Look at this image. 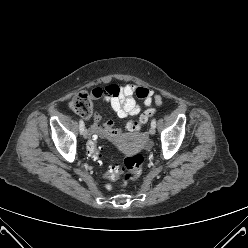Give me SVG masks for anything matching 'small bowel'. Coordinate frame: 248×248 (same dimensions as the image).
Listing matches in <instances>:
<instances>
[{
    "mask_svg": "<svg viewBox=\"0 0 248 248\" xmlns=\"http://www.w3.org/2000/svg\"><path fill=\"white\" fill-rule=\"evenodd\" d=\"M117 87L118 93L116 95H113L108 87L107 92L111 93V95H104L102 98L112 107V109L120 118L135 116L141 112L142 107L135 100V96L143 100L144 106H150L153 102L156 105L162 104L161 96L155 94L152 90L144 86L125 84ZM101 120V116L99 114H95L92 126L90 128L93 138L96 139L97 136H105L116 139L122 134V130L115 127L113 121L108 120L102 123Z\"/></svg>",
    "mask_w": 248,
    "mask_h": 248,
    "instance_id": "1",
    "label": "small bowel"
}]
</instances>
